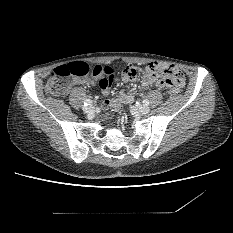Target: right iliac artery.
Instances as JSON below:
<instances>
[{"label": "right iliac artery", "mask_w": 233, "mask_h": 233, "mask_svg": "<svg viewBox=\"0 0 233 233\" xmlns=\"http://www.w3.org/2000/svg\"><path fill=\"white\" fill-rule=\"evenodd\" d=\"M92 104V100H90V99H86L85 101H84V105L85 106H88V105H91Z\"/></svg>", "instance_id": "1"}]
</instances>
